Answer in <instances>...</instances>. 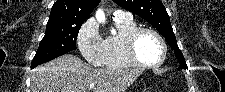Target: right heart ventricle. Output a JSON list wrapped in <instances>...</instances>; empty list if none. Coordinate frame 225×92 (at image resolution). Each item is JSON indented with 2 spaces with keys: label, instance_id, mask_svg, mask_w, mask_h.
I'll return each mask as SVG.
<instances>
[{
  "label": "right heart ventricle",
  "instance_id": "e07e8e85",
  "mask_svg": "<svg viewBox=\"0 0 225 92\" xmlns=\"http://www.w3.org/2000/svg\"><path fill=\"white\" fill-rule=\"evenodd\" d=\"M116 33L104 40V64L109 69L132 68L134 65L125 52V40L128 34L136 29L133 17L114 18Z\"/></svg>",
  "mask_w": 225,
  "mask_h": 92
}]
</instances>
